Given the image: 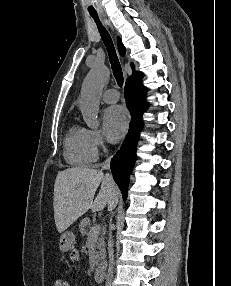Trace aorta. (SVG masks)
Segmentation results:
<instances>
[{"mask_svg":"<svg viewBox=\"0 0 231 286\" xmlns=\"http://www.w3.org/2000/svg\"><path fill=\"white\" fill-rule=\"evenodd\" d=\"M109 77L110 72L108 68L96 66L90 70L82 84L80 110L84 122L91 128L99 126L98 112L100 95Z\"/></svg>","mask_w":231,"mask_h":286,"instance_id":"aorta-1","label":"aorta"}]
</instances>
